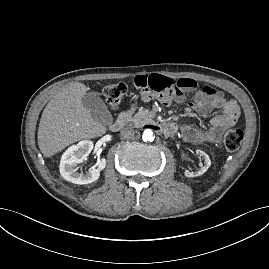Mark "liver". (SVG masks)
Masks as SVG:
<instances>
[{"instance_id":"obj_1","label":"liver","mask_w":269,"mask_h":269,"mask_svg":"<svg viewBox=\"0 0 269 269\" xmlns=\"http://www.w3.org/2000/svg\"><path fill=\"white\" fill-rule=\"evenodd\" d=\"M86 91L87 87L83 83H71L46 105L37 136L44 157H51L77 141L106 133V127L95 121L82 104Z\"/></svg>"}]
</instances>
